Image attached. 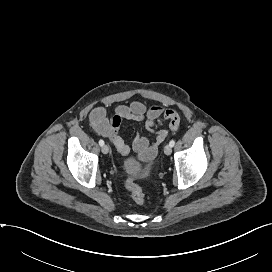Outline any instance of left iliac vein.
<instances>
[{"label":"left iliac vein","mask_w":272,"mask_h":272,"mask_svg":"<svg viewBox=\"0 0 272 272\" xmlns=\"http://www.w3.org/2000/svg\"><path fill=\"white\" fill-rule=\"evenodd\" d=\"M171 152H172V147H171L170 145H166V146L164 147V153H165L166 155H170Z\"/></svg>","instance_id":"4c4485c4"}]
</instances>
